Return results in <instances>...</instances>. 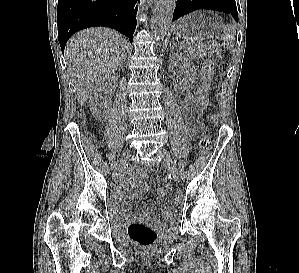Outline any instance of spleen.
Segmentation results:
<instances>
[{"label":"spleen","mask_w":299,"mask_h":273,"mask_svg":"<svg viewBox=\"0 0 299 273\" xmlns=\"http://www.w3.org/2000/svg\"><path fill=\"white\" fill-rule=\"evenodd\" d=\"M224 33V47L226 49H231L233 48L235 44V35H236V30L233 25H226L223 30Z\"/></svg>","instance_id":"3e777b00"}]
</instances>
